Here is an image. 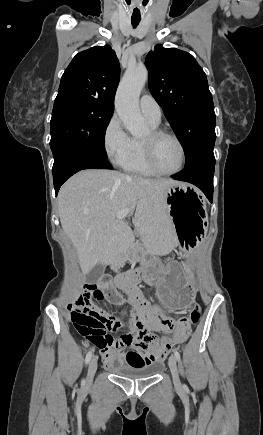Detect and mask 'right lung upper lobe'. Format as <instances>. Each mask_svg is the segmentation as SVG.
I'll return each mask as SVG.
<instances>
[{"mask_svg":"<svg viewBox=\"0 0 263 435\" xmlns=\"http://www.w3.org/2000/svg\"><path fill=\"white\" fill-rule=\"evenodd\" d=\"M119 76V61L110 46L82 51L62 75L54 106L90 103L114 109Z\"/></svg>","mask_w":263,"mask_h":435,"instance_id":"right-lung-upper-lobe-1","label":"right lung upper lobe"}]
</instances>
